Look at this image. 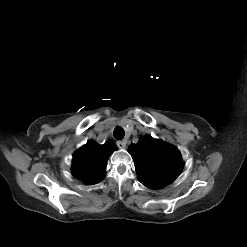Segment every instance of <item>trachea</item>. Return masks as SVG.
<instances>
[{"label":"trachea","instance_id":"obj_1","mask_svg":"<svg viewBox=\"0 0 247 247\" xmlns=\"http://www.w3.org/2000/svg\"><path fill=\"white\" fill-rule=\"evenodd\" d=\"M113 135L116 139L121 140L125 135V131L122 127L117 126L114 129Z\"/></svg>","mask_w":247,"mask_h":247}]
</instances>
